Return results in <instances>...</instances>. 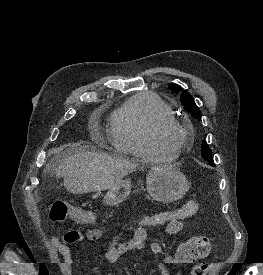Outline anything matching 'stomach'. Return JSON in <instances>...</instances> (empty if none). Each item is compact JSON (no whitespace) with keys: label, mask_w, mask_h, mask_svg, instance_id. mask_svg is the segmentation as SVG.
Segmentation results:
<instances>
[{"label":"stomach","mask_w":263,"mask_h":275,"mask_svg":"<svg viewBox=\"0 0 263 275\" xmlns=\"http://www.w3.org/2000/svg\"><path fill=\"white\" fill-rule=\"evenodd\" d=\"M130 178L122 179L109 189L104 204L113 206L123 202L131 192ZM189 189L185 175L172 166H155L146 178L147 192L158 202L169 203L182 198Z\"/></svg>","instance_id":"0dacf381"}]
</instances>
